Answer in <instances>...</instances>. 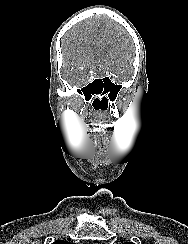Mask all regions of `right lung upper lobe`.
<instances>
[{
	"instance_id": "cb5924a9",
	"label": "right lung upper lobe",
	"mask_w": 188,
	"mask_h": 244,
	"mask_svg": "<svg viewBox=\"0 0 188 244\" xmlns=\"http://www.w3.org/2000/svg\"><path fill=\"white\" fill-rule=\"evenodd\" d=\"M53 244H74V243H70V242H67L64 240H57V241L53 242Z\"/></svg>"
}]
</instances>
